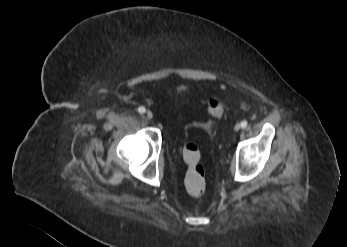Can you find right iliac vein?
Listing matches in <instances>:
<instances>
[{"mask_svg": "<svg viewBox=\"0 0 347 247\" xmlns=\"http://www.w3.org/2000/svg\"><path fill=\"white\" fill-rule=\"evenodd\" d=\"M146 117H147L148 119H152V117H153L152 112L147 111V112H146Z\"/></svg>", "mask_w": 347, "mask_h": 247, "instance_id": "right-iliac-vein-1", "label": "right iliac vein"}]
</instances>
